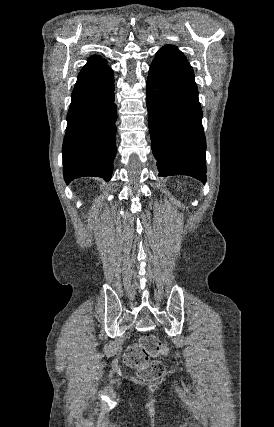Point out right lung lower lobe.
Returning <instances> with one entry per match:
<instances>
[{
  "mask_svg": "<svg viewBox=\"0 0 274 427\" xmlns=\"http://www.w3.org/2000/svg\"><path fill=\"white\" fill-rule=\"evenodd\" d=\"M114 79L107 64L82 69L72 92L63 142L67 183L83 176L110 180L116 155Z\"/></svg>",
  "mask_w": 274,
  "mask_h": 427,
  "instance_id": "obj_1",
  "label": "right lung lower lobe"
}]
</instances>
